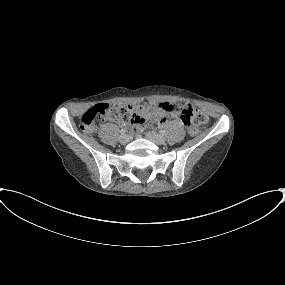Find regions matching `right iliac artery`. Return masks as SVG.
Segmentation results:
<instances>
[{
	"label": "right iliac artery",
	"mask_w": 285,
	"mask_h": 285,
	"mask_svg": "<svg viewBox=\"0 0 285 285\" xmlns=\"http://www.w3.org/2000/svg\"><path fill=\"white\" fill-rule=\"evenodd\" d=\"M120 134H121V135H125V134H126V130H125V129H122V130L120 131Z\"/></svg>",
	"instance_id": "82829eb1"
}]
</instances>
